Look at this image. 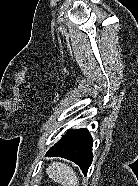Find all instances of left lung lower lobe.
I'll return each instance as SVG.
<instances>
[{
    "label": "left lung lower lobe",
    "mask_w": 138,
    "mask_h": 186,
    "mask_svg": "<svg viewBox=\"0 0 138 186\" xmlns=\"http://www.w3.org/2000/svg\"><path fill=\"white\" fill-rule=\"evenodd\" d=\"M92 137L88 129L69 130L46 153V156H59L75 162L86 175L92 163Z\"/></svg>",
    "instance_id": "1"
}]
</instances>
